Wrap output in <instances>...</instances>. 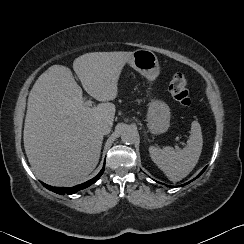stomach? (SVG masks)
<instances>
[{"label":"stomach","instance_id":"obj_1","mask_svg":"<svg viewBox=\"0 0 244 244\" xmlns=\"http://www.w3.org/2000/svg\"><path fill=\"white\" fill-rule=\"evenodd\" d=\"M128 63L149 80H154L159 75L158 58L150 50H135ZM170 118L169 106L162 100L151 98L146 113L148 131L154 135L165 133L170 126Z\"/></svg>","mask_w":244,"mask_h":244}]
</instances>
